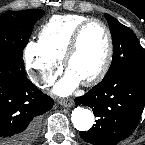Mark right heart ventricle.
<instances>
[{
  "label": "right heart ventricle",
  "mask_w": 145,
  "mask_h": 145,
  "mask_svg": "<svg viewBox=\"0 0 145 145\" xmlns=\"http://www.w3.org/2000/svg\"><path fill=\"white\" fill-rule=\"evenodd\" d=\"M87 16L78 14L55 15L40 29L38 42L53 57L63 59L75 29Z\"/></svg>",
  "instance_id": "obj_1"
}]
</instances>
